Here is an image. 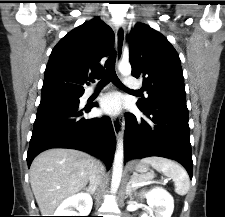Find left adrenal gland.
I'll use <instances>...</instances> for the list:
<instances>
[{"label": "left adrenal gland", "instance_id": "a2214340", "mask_svg": "<svg viewBox=\"0 0 225 217\" xmlns=\"http://www.w3.org/2000/svg\"><path fill=\"white\" fill-rule=\"evenodd\" d=\"M132 191H133V189L130 187V183H128L126 185V195L130 197V200L133 199Z\"/></svg>", "mask_w": 225, "mask_h": 217}]
</instances>
